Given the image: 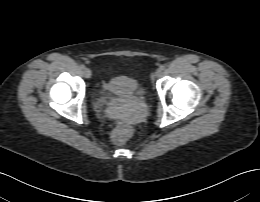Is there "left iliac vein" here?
<instances>
[{"instance_id": "left-iliac-vein-1", "label": "left iliac vein", "mask_w": 260, "mask_h": 202, "mask_svg": "<svg viewBox=\"0 0 260 202\" xmlns=\"http://www.w3.org/2000/svg\"><path fill=\"white\" fill-rule=\"evenodd\" d=\"M163 74V70L161 68L157 69L155 72V77L160 78Z\"/></svg>"}]
</instances>
